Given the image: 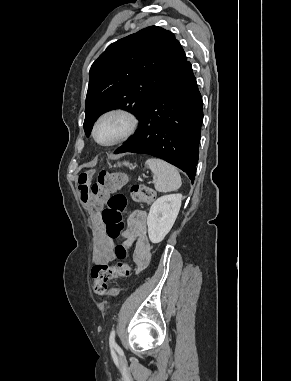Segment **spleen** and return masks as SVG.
Listing matches in <instances>:
<instances>
[{
  "label": "spleen",
  "instance_id": "3e777b00",
  "mask_svg": "<svg viewBox=\"0 0 291 381\" xmlns=\"http://www.w3.org/2000/svg\"><path fill=\"white\" fill-rule=\"evenodd\" d=\"M145 164L156 176L155 189L158 192H171L180 188L181 177L173 165L157 158H149Z\"/></svg>",
  "mask_w": 291,
  "mask_h": 381
}]
</instances>
